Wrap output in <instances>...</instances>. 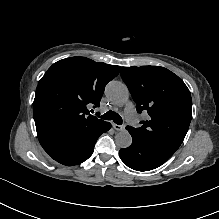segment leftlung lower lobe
Returning a JSON list of instances; mask_svg holds the SVG:
<instances>
[{
  "label": "left lung lower lobe",
  "mask_w": 219,
  "mask_h": 219,
  "mask_svg": "<svg viewBox=\"0 0 219 219\" xmlns=\"http://www.w3.org/2000/svg\"><path fill=\"white\" fill-rule=\"evenodd\" d=\"M130 134L132 136L131 146L119 151L121 160L129 168L137 171L153 170L171 157L158 148L146 144L139 136Z\"/></svg>",
  "instance_id": "obj_1"
}]
</instances>
